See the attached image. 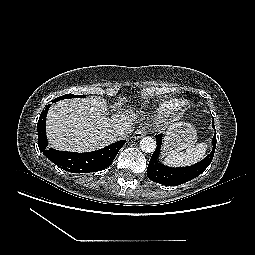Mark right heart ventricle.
I'll use <instances>...</instances> for the list:
<instances>
[{"instance_id": "right-heart-ventricle-1", "label": "right heart ventricle", "mask_w": 255, "mask_h": 255, "mask_svg": "<svg viewBox=\"0 0 255 255\" xmlns=\"http://www.w3.org/2000/svg\"><path fill=\"white\" fill-rule=\"evenodd\" d=\"M183 105L184 102L182 100H168L160 105V107L158 108V112L164 115L174 114L180 111Z\"/></svg>"}]
</instances>
